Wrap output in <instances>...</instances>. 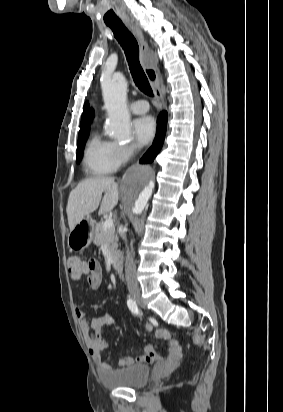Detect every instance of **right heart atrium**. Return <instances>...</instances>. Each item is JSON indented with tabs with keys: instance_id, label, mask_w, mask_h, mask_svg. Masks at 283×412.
<instances>
[{
	"instance_id": "right-heart-atrium-1",
	"label": "right heart atrium",
	"mask_w": 283,
	"mask_h": 412,
	"mask_svg": "<svg viewBox=\"0 0 283 412\" xmlns=\"http://www.w3.org/2000/svg\"><path fill=\"white\" fill-rule=\"evenodd\" d=\"M138 151L135 143L116 144V157L120 164L131 160Z\"/></svg>"
}]
</instances>
